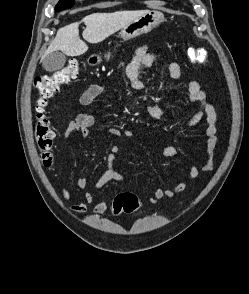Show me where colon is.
Instances as JSON below:
<instances>
[{
  "mask_svg": "<svg viewBox=\"0 0 249 294\" xmlns=\"http://www.w3.org/2000/svg\"><path fill=\"white\" fill-rule=\"evenodd\" d=\"M187 55L191 63L207 65L209 63L208 53L199 47H189ZM80 74V64L77 59H71L69 63L50 74L38 76L35 79L37 97L34 106L35 113V136L39 149L42 151V162L44 166H50L53 161L52 148L54 146L55 132L50 126V120L45 113L47 101L60 88L69 83ZM140 207V202L136 195L132 193L118 194L111 206L114 215L131 214Z\"/></svg>",
  "mask_w": 249,
  "mask_h": 294,
  "instance_id": "obj_1",
  "label": "colon"
}]
</instances>
